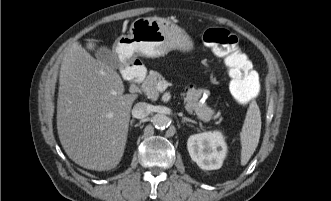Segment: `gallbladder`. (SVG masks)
<instances>
[{
	"instance_id": "1",
	"label": "gallbladder",
	"mask_w": 331,
	"mask_h": 201,
	"mask_svg": "<svg viewBox=\"0 0 331 201\" xmlns=\"http://www.w3.org/2000/svg\"><path fill=\"white\" fill-rule=\"evenodd\" d=\"M95 56L102 63L112 67L113 69H120L122 64L119 62L118 57L107 46H95Z\"/></svg>"
}]
</instances>
